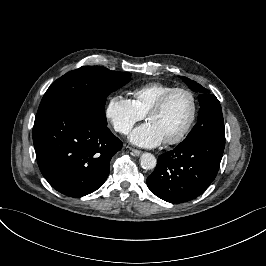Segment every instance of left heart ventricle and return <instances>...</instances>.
<instances>
[{
  "mask_svg": "<svg viewBox=\"0 0 266 266\" xmlns=\"http://www.w3.org/2000/svg\"><path fill=\"white\" fill-rule=\"evenodd\" d=\"M192 114V102L184 92L175 93L161 112L150 114L147 121L161 133L164 140L178 136Z\"/></svg>",
  "mask_w": 266,
  "mask_h": 266,
  "instance_id": "b2bd125f",
  "label": "left heart ventricle"
}]
</instances>
